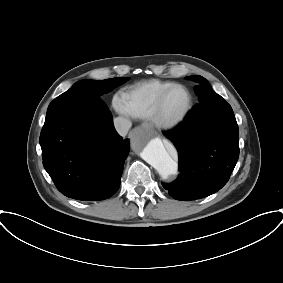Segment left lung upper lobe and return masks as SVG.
<instances>
[{
  "label": "left lung upper lobe",
  "mask_w": 283,
  "mask_h": 283,
  "mask_svg": "<svg viewBox=\"0 0 283 283\" xmlns=\"http://www.w3.org/2000/svg\"><path fill=\"white\" fill-rule=\"evenodd\" d=\"M187 79H191L198 84L195 86V91L197 95L199 96V102L203 103L205 100H210L213 99L214 96L217 94L214 92L208 83V81L203 78L202 76L194 75V76H189ZM223 134L226 135H239V130H238V125L235 119L234 114L231 116L230 123L228 127L224 130Z\"/></svg>",
  "instance_id": "5c2ea615"
}]
</instances>
